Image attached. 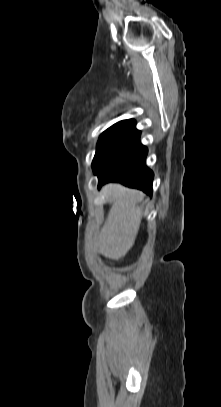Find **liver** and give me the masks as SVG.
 Segmentation results:
<instances>
[{"mask_svg": "<svg viewBox=\"0 0 221 407\" xmlns=\"http://www.w3.org/2000/svg\"><path fill=\"white\" fill-rule=\"evenodd\" d=\"M103 193L110 198L111 209L96 244L104 256L120 259L135 243L143 213L137 202L144 194L120 184L106 185Z\"/></svg>", "mask_w": 221, "mask_h": 407, "instance_id": "obj_1", "label": "liver"}]
</instances>
